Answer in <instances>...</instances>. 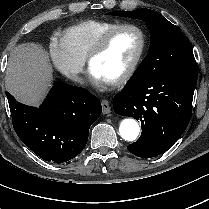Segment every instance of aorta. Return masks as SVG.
<instances>
[{
    "label": "aorta",
    "mask_w": 209,
    "mask_h": 209,
    "mask_svg": "<svg viewBox=\"0 0 209 209\" xmlns=\"http://www.w3.org/2000/svg\"><path fill=\"white\" fill-rule=\"evenodd\" d=\"M140 132L139 124L132 118H125L119 126L120 136L126 141H134Z\"/></svg>",
    "instance_id": "1"
}]
</instances>
